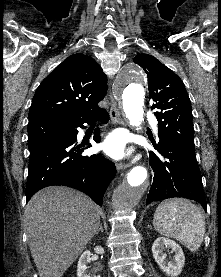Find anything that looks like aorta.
Returning a JSON list of instances; mask_svg holds the SVG:
<instances>
[{"label":"aorta","mask_w":221,"mask_h":277,"mask_svg":"<svg viewBox=\"0 0 221 277\" xmlns=\"http://www.w3.org/2000/svg\"><path fill=\"white\" fill-rule=\"evenodd\" d=\"M145 74L141 67L130 64L124 66L118 75L116 92L123 102V110L130 125L141 128L145 97ZM148 188V172L144 166L133 167L124 182L115 189L112 206L119 213L135 208Z\"/></svg>","instance_id":"762f6f07"}]
</instances>
